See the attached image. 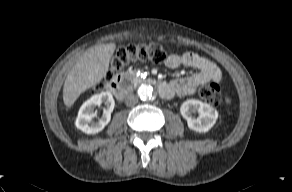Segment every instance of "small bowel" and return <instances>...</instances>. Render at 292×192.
Returning <instances> with one entry per match:
<instances>
[{
    "label": "small bowel",
    "instance_id": "1",
    "mask_svg": "<svg viewBox=\"0 0 292 192\" xmlns=\"http://www.w3.org/2000/svg\"><path fill=\"white\" fill-rule=\"evenodd\" d=\"M165 64L171 69H176L181 66L194 68L197 73L171 81L170 94L165 98H170L174 95H190L208 83H220L222 73L220 68L209 59L202 57L193 52H184L181 54H171L166 58Z\"/></svg>",
    "mask_w": 292,
    "mask_h": 192
}]
</instances>
